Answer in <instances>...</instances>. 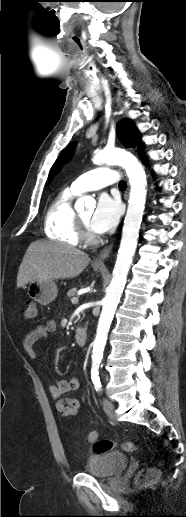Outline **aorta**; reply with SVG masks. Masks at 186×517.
<instances>
[{
	"mask_svg": "<svg viewBox=\"0 0 186 517\" xmlns=\"http://www.w3.org/2000/svg\"><path fill=\"white\" fill-rule=\"evenodd\" d=\"M93 162L98 165L104 163H116L121 165L126 171L131 187L120 248L113 270V276L108 286L106 296L103 299L102 311L93 343L92 369L96 370L103 358L110 325L120 301L137 246L139 229L145 208L147 180L142 164L133 154L126 150L118 148L100 150L94 155ZM91 201H93V199L90 196H82L78 199L77 206L83 207L86 203Z\"/></svg>",
	"mask_w": 186,
	"mask_h": 517,
	"instance_id": "762f6f07",
	"label": "aorta"
}]
</instances>
